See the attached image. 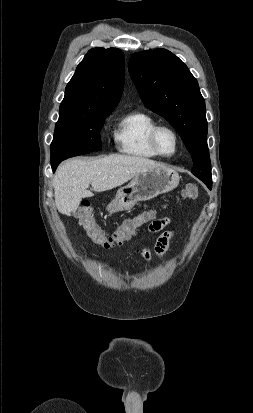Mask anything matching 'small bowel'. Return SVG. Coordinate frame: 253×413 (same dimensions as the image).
<instances>
[{
    "label": "small bowel",
    "mask_w": 253,
    "mask_h": 413,
    "mask_svg": "<svg viewBox=\"0 0 253 413\" xmlns=\"http://www.w3.org/2000/svg\"><path fill=\"white\" fill-rule=\"evenodd\" d=\"M170 220L168 217H163L160 219L153 220L149 225V231L151 233H156L163 230L168 224ZM174 236V232L172 231H165L163 232L157 239L153 252L144 249L142 250V256L150 261L152 259V255L155 254L157 257L162 258L169 249L170 242Z\"/></svg>",
    "instance_id": "obj_1"
}]
</instances>
